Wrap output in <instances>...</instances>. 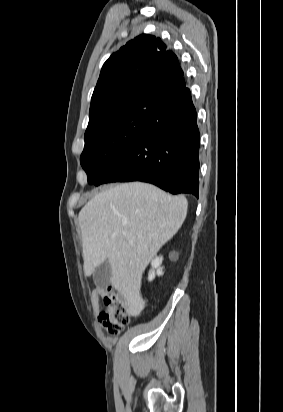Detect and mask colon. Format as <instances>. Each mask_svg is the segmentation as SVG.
<instances>
[{
  "label": "colon",
  "instance_id": "colon-1",
  "mask_svg": "<svg viewBox=\"0 0 283 412\" xmlns=\"http://www.w3.org/2000/svg\"><path fill=\"white\" fill-rule=\"evenodd\" d=\"M106 310L100 315V326L110 336H119L129 322V313L123 295L116 289L104 298Z\"/></svg>",
  "mask_w": 283,
  "mask_h": 412
}]
</instances>
